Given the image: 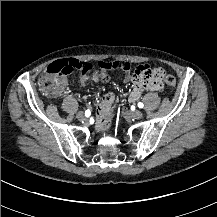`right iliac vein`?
<instances>
[{"label": "right iliac vein", "instance_id": "1", "mask_svg": "<svg viewBox=\"0 0 217 217\" xmlns=\"http://www.w3.org/2000/svg\"><path fill=\"white\" fill-rule=\"evenodd\" d=\"M76 117H77V119L78 120H80V121H83V120H85L86 119V117H85V115H84V113L83 112H78L77 114H76Z\"/></svg>", "mask_w": 217, "mask_h": 217}]
</instances>
